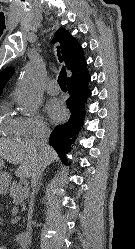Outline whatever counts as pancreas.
<instances>
[{
    "label": "pancreas",
    "instance_id": "cf45deb5",
    "mask_svg": "<svg viewBox=\"0 0 135 249\" xmlns=\"http://www.w3.org/2000/svg\"><path fill=\"white\" fill-rule=\"evenodd\" d=\"M9 193L15 204L23 203L24 199L29 196V190L27 188H23L22 185L17 182H12L9 188Z\"/></svg>",
    "mask_w": 135,
    "mask_h": 249
}]
</instances>
